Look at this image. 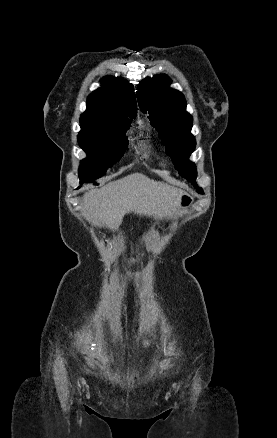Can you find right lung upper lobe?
<instances>
[{"label": "right lung upper lobe", "mask_w": 277, "mask_h": 438, "mask_svg": "<svg viewBox=\"0 0 277 438\" xmlns=\"http://www.w3.org/2000/svg\"><path fill=\"white\" fill-rule=\"evenodd\" d=\"M102 87L87 98V110L81 115V125L108 126L134 118L137 104L134 89L129 82L107 76Z\"/></svg>", "instance_id": "right-lung-upper-lobe-1"}]
</instances>
